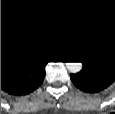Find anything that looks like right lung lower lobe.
Returning a JSON list of instances; mask_svg holds the SVG:
<instances>
[{
  "label": "right lung lower lobe",
  "mask_w": 115,
  "mask_h": 114,
  "mask_svg": "<svg viewBox=\"0 0 115 114\" xmlns=\"http://www.w3.org/2000/svg\"><path fill=\"white\" fill-rule=\"evenodd\" d=\"M48 59L1 65V89L11 95H26L37 89L45 77Z\"/></svg>",
  "instance_id": "right-lung-lower-lobe-1"
}]
</instances>
